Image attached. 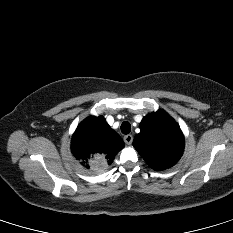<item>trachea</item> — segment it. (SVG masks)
Masks as SVG:
<instances>
[{
  "mask_svg": "<svg viewBox=\"0 0 233 233\" xmlns=\"http://www.w3.org/2000/svg\"><path fill=\"white\" fill-rule=\"evenodd\" d=\"M131 131V125L129 122L125 121L121 124V132L123 134H129Z\"/></svg>",
  "mask_w": 233,
  "mask_h": 233,
  "instance_id": "3493384b",
  "label": "trachea"
}]
</instances>
